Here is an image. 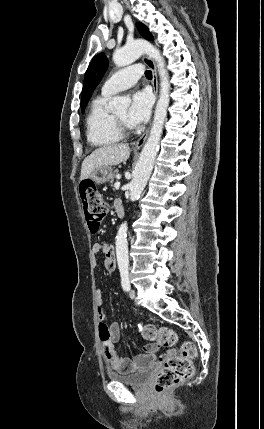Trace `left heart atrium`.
I'll return each instance as SVG.
<instances>
[{
  "label": "left heart atrium",
  "mask_w": 264,
  "mask_h": 429,
  "mask_svg": "<svg viewBox=\"0 0 264 429\" xmlns=\"http://www.w3.org/2000/svg\"><path fill=\"white\" fill-rule=\"evenodd\" d=\"M153 98L148 91H137L132 95L131 104L127 112V123L131 127H138L145 123L150 116Z\"/></svg>",
  "instance_id": "39dd6f15"
}]
</instances>
